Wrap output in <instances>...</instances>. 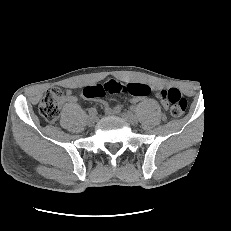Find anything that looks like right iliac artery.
<instances>
[{"label": "right iliac artery", "mask_w": 231, "mask_h": 231, "mask_svg": "<svg viewBox=\"0 0 231 231\" xmlns=\"http://www.w3.org/2000/svg\"><path fill=\"white\" fill-rule=\"evenodd\" d=\"M88 112L90 115H96L97 114V110L95 108H89Z\"/></svg>", "instance_id": "obj_1"}]
</instances>
